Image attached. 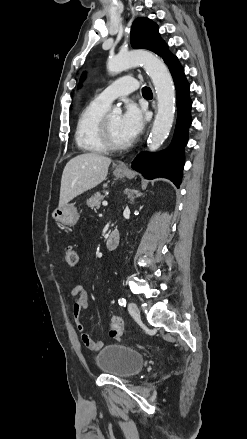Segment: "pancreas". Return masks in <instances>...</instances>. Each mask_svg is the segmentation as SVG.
I'll return each mask as SVG.
<instances>
[{
	"label": "pancreas",
	"mask_w": 247,
	"mask_h": 439,
	"mask_svg": "<svg viewBox=\"0 0 247 439\" xmlns=\"http://www.w3.org/2000/svg\"><path fill=\"white\" fill-rule=\"evenodd\" d=\"M103 199V195H101L100 193H96L87 200V206L91 209H99Z\"/></svg>",
	"instance_id": "1"
}]
</instances>
